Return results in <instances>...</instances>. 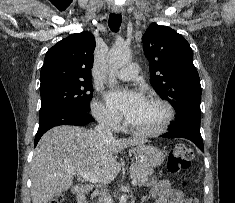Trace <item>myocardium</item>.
<instances>
[{"instance_id": "myocardium-1", "label": "myocardium", "mask_w": 235, "mask_h": 203, "mask_svg": "<svg viewBox=\"0 0 235 203\" xmlns=\"http://www.w3.org/2000/svg\"><path fill=\"white\" fill-rule=\"evenodd\" d=\"M146 100L149 102L157 103L163 107L165 114L161 123L157 127L152 129H141L133 126L130 122H127V128L131 132L140 136L153 137L161 135L165 133L171 125L175 115L174 109L168 101L160 97L151 96L148 97Z\"/></svg>"}]
</instances>
